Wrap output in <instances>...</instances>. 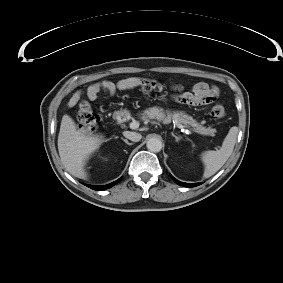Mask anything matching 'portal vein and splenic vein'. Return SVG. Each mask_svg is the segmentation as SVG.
Segmentation results:
<instances>
[{
	"instance_id": "obj_1",
	"label": "portal vein and splenic vein",
	"mask_w": 283,
	"mask_h": 283,
	"mask_svg": "<svg viewBox=\"0 0 283 283\" xmlns=\"http://www.w3.org/2000/svg\"><path fill=\"white\" fill-rule=\"evenodd\" d=\"M179 125V128H182L183 126L182 125H180V124H178ZM130 126L132 127V128H137L138 127V123L137 122H132L131 124H130Z\"/></svg>"
}]
</instances>
